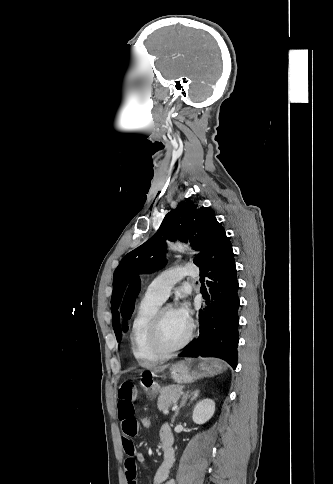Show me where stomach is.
Here are the masks:
<instances>
[{
  "label": "stomach",
  "mask_w": 333,
  "mask_h": 484,
  "mask_svg": "<svg viewBox=\"0 0 333 484\" xmlns=\"http://www.w3.org/2000/svg\"><path fill=\"white\" fill-rule=\"evenodd\" d=\"M225 365L214 359H204L198 365V371H191L190 362L180 361L169 367L170 377L179 384L192 383L201 377H209L223 372ZM155 374V372H152ZM141 386L144 392L153 397L160 392V386L153 379L147 378L141 380Z\"/></svg>",
  "instance_id": "1"
}]
</instances>
